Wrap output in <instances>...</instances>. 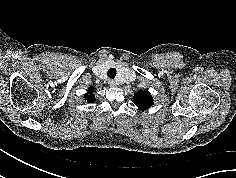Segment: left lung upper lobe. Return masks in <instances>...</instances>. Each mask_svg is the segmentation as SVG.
<instances>
[{"instance_id": "obj_1", "label": "left lung upper lobe", "mask_w": 236, "mask_h": 178, "mask_svg": "<svg viewBox=\"0 0 236 178\" xmlns=\"http://www.w3.org/2000/svg\"><path fill=\"white\" fill-rule=\"evenodd\" d=\"M134 103L140 109H148L153 105V99L148 90H140L134 95Z\"/></svg>"}]
</instances>
